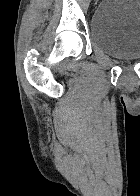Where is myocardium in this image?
I'll return each instance as SVG.
<instances>
[{"mask_svg":"<svg viewBox=\"0 0 140 196\" xmlns=\"http://www.w3.org/2000/svg\"><path fill=\"white\" fill-rule=\"evenodd\" d=\"M85 192H109V191H85ZM111 192H124V191H111Z\"/></svg>","mask_w":140,"mask_h":196,"instance_id":"obj_1","label":"myocardium"}]
</instances>
